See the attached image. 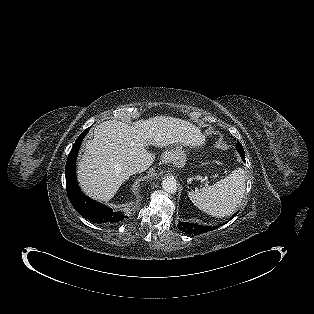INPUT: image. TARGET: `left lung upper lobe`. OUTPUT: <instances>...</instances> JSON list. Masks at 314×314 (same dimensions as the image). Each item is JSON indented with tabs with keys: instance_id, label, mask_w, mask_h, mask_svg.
Returning a JSON list of instances; mask_svg holds the SVG:
<instances>
[{
	"instance_id": "left-lung-upper-lobe-1",
	"label": "left lung upper lobe",
	"mask_w": 314,
	"mask_h": 314,
	"mask_svg": "<svg viewBox=\"0 0 314 314\" xmlns=\"http://www.w3.org/2000/svg\"><path fill=\"white\" fill-rule=\"evenodd\" d=\"M236 148H237L239 153H244V150H243V147H242L241 143L237 142Z\"/></svg>"
}]
</instances>
